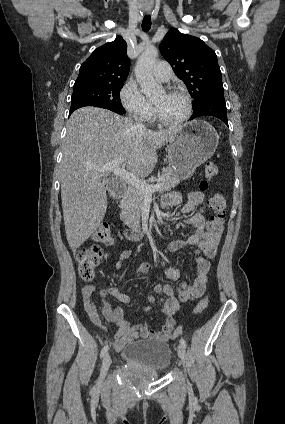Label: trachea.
Here are the masks:
<instances>
[{
    "label": "trachea",
    "mask_w": 285,
    "mask_h": 424,
    "mask_svg": "<svg viewBox=\"0 0 285 424\" xmlns=\"http://www.w3.org/2000/svg\"><path fill=\"white\" fill-rule=\"evenodd\" d=\"M151 28V16L145 15L142 21V29L145 32H148Z\"/></svg>",
    "instance_id": "1"
}]
</instances>
